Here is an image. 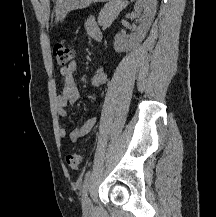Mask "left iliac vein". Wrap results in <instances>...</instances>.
<instances>
[{
  "label": "left iliac vein",
  "instance_id": "left-iliac-vein-1",
  "mask_svg": "<svg viewBox=\"0 0 216 217\" xmlns=\"http://www.w3.org/2000/svg\"><path fill=\"white\" fill-rule=\"evenodd\" d=\"M82 205L85 212L90 213L92 211V203L87 193L83 196Z\"/></svg>",
  "mask_w": 216,
  "mask_h": 217
}]
</instances>
